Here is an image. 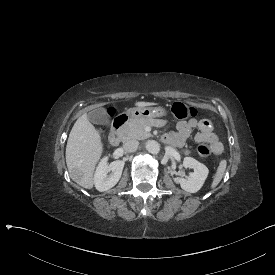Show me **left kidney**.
Wrapping results in <instances>:
<instances>
[{"label":"left kidney","mask_w":275,"mask_h":275,"mask_svg":"<svg viewBox=\"0 0 275 275\" xmlns=\"http://www.w3.org/2000/svg\"><path fill=\"white\" fill-rule=\"evenodd\" d=\"M184 166L186 168L193 169L194 172L191 173L190 177L187 179L175 177L173 178V182L176 185H180L181 188L186 192L196 193L198 190H200L208 176V168L191 157L184 158Z\"/></svg>","instance_id":"5707ae66"}]
</instances>
